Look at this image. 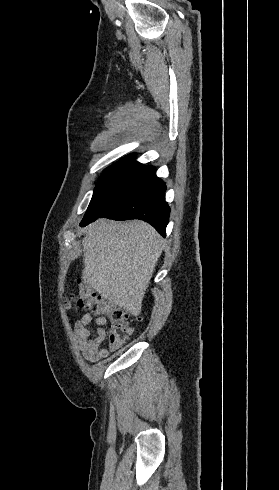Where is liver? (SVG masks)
Wrapping results in <instances>:
<instances>
[{
  "instance_id": "obj_1",
  "label": "liver",
  "mask_w": 279,
  "mask_h": 490,
  "mask_svg": "<svg viewBox=\"0 0 279 490\" xmlns=\"http://www.w3.org/2000/svg\"><path fill=\"white\" fill-rule=\"evenodd\" d=\"M83 238L82 280L104 300L140 316L163 238L141 220H97Z\"/></svg>"
}]
</instances>
